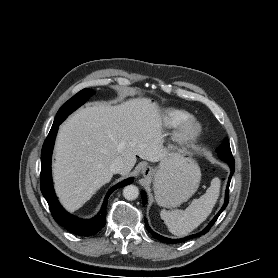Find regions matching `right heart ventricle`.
Segmentation results:
<instances>
[{
    "mask_svg": "<svg viewBox=\"0 0 278 278\" xmlns=\"http://www.w3.org/2000/svg\"><path fill=\"white\" fill-rule=\"evenodd\" d=\"M189 118H191V114L183 109L171 108L165 114V121L170 127H179Z\"/></svg>",
    "mask_w": 278,
    "mask_h": 278,
    "instance_id": "1",
    "label": "right heart ventricle"
}]
</instances>
